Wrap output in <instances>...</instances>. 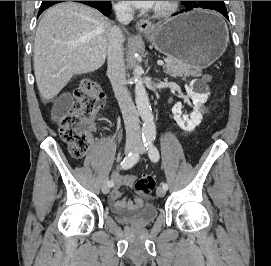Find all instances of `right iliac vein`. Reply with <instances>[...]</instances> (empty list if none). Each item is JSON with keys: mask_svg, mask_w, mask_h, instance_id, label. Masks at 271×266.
Wrapping results in <instances>:
<instances>
[{"mask_svg": "<svg viewBox=\"0 0 271 266\" xmlns=\"http://www.w3.org/2000/svg\"><path fill=\"white\" fill-rule=\"evenodd\" d=\"M138 145L133 142H127L125 147H124V153L128 154L129 152L137 150ZM101 190L103 194H107L110 190V187L107 182H104L101 186Z\"/></svg>", "mask_w": 271, "mask_h": 266, "instance_id": "63e3f726", "label": "right iliac vein"}]
</instances>
